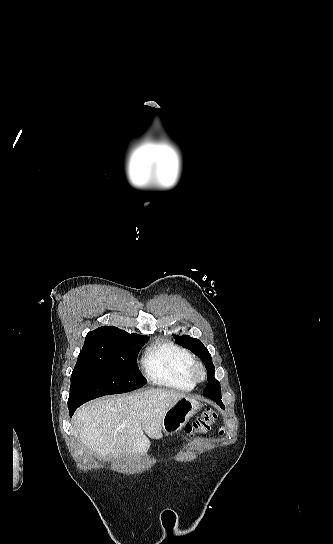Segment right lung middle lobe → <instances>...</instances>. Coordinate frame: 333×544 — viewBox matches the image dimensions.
Segmentation results:
<instances>
[{"mask_svg": "<svg viewBox=\"0 0 333 544\" xmlns=\"http://www.w3.org/2000/svg\"><path fill=\"white\" fill-rule=\"evenodd\" d=\"M147 340L122 339L102 353L80 352L71 375L68 406L143 387L145 379L136 359Z\"/></svg>", "mask_w": 333, "mask_h": 544, "instance_id": "1", "label": "right lung middle lobe"}]
</instances>
